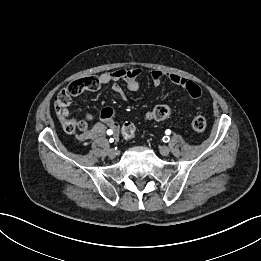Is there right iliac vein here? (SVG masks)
<instances>
[{
	"label": "right iliac vein",
	"mask_w": 261,
	"mask_h": 261,
	"mask_svg": "<svg viewBox=\"0 0 261 261\" xmlns=\"http://www.w3.org/2000/svg\"><path fill=\"white\" fill-rule=\"evenodd\" d=\"M116 155H117V151L115 150V149H109L108 150V156L110 157V158H115L116 157Z\"/></svg>",
	"instance_id": "63e3f726"
}]
</instances>
